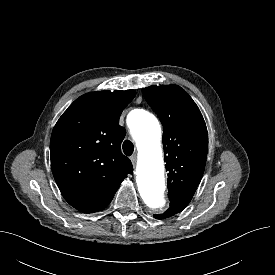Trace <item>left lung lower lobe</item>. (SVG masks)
<instances>
[{
    "label": "left lung lower lobe",
    "mask_w": 275,
    "mask_h": 275,
    "mask_svg": "<svg viewBox=\"0 0 275 275\" xmlns=\"http://www.w3.org/2000/svg\"><path fill=\"white\" fill-rule=\"evenodd\" d=\"M193 196L188 194L169 195L170 207L169 209L160 215H154L157 219H163L170 217L178 212H181L191 201Z\"/></svg>",
    "instance_id": "obj_1"
}]
</instances>
